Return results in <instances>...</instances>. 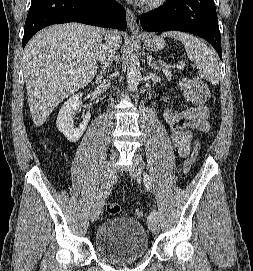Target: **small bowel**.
<instances>
[{
  "instance_id": "c3829d8e",
  "label": "small bowel",
  "mask_w": 253,
  "mask_h": 271,
  "mask_svg": "<svg viewBox=\"0 0 253 271\" xmlns=\"http://www.w3.org/2000/svg\"><path fill=\"white\" fill-rule=\"evenodd\" d=\"M181 88L186 100L192 104L181 113L164 112V121L171 132L170 140L178 150L180 157L187 158L191 150L193 133H208L209 110L205 106V96L200 92L194 80L183 79Z\"/></svg>"
}]
</instances>
